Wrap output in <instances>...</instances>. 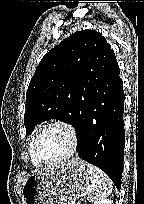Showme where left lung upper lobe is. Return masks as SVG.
<instances>
[{
    "label": "left lung upper lobe",
    "mask_w": 144,
    "mask_h": 204,
    "mask_svg": "<svg viewBox=\"0 0 144 204\" xmlns=\"http://www.w3.org/2000/svg\"><path fill=\"white\" fill-rule=\"evenodd\" d=\"M114 58L110 44L94 30L75 32L51 49L37 66L26 93V134L50 119L70 123L79 133L98 67Z\"/></svg>",
    "instance_id": "obj_1"
}]
</instances>
